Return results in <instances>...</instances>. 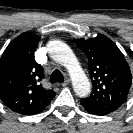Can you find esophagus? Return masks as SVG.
<instances>
[{
    "label": "esophagus",
    "mask_w": 133,
    "mask_h": 133,
    "mask_svg": "<svg viewBox=\"0 0 133 133\" xmlns=\"http://www.w3.org/2000/svg\"><path fill=\"white\" fill-rule=\"evenodd\" d=\"M70 83V80L67 78L65 81L62 83V86H67Z\"/></svg>",
    "instance_id": "1"
}]
</instances>
